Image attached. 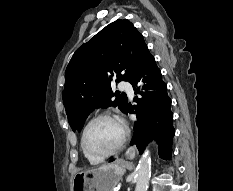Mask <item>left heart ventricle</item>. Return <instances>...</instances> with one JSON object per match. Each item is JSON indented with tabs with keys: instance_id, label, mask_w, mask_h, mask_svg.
I'll return each mask as SVG.
<instances>
[{
	"instance_id": "obj_1",
	"label": "left heart ventricle",
	"mask_w": 233,
	"mask_h": 191,
	"mask_svg": "<svg viewBox=\"0 0 233 191\" xmlns=\"http://www.w3.org/2000/svg\"><path fill=\"white\" fill-rule=\"evenodd\" d=\"M122 136V126L110 119L95 121L88 129L86 145L90 152L102 154L113 148Z\"/></svg>"
}]
</instances>
